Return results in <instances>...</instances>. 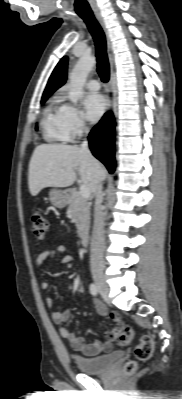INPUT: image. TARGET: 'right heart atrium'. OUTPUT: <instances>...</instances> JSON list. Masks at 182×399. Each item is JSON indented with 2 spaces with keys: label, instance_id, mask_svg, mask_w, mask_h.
<instances>
[{
  "label": "right heart atrium",
  "instance_id": "right-heart-atrium-1",
  "mask_svg": "<svg viewBox=\"0 0 182 399\" xmlns=\"http://www.w3.org/2000/svg\"><path fill=\"white\" fill-rule=\"evenodd\" d=\"M64 119L70 137L80 136L87 129L83 113L75 106L64 105Z\"/></svg>",
  "mask_w": 182,
  "mask_h": 399
}]
</instances>
